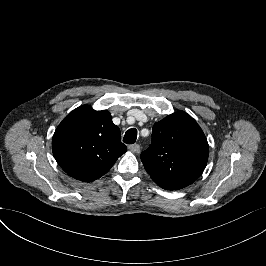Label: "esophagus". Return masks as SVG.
<instances>
[{"mask_svg": "<svg viewBox=\"0 0 266 266\" xmlns=\"http://www.w3.org/2000/svg\"><path fill=\"white\" fill-rule=\"evenodd\" d=\"M128 148H129V150L132 151L133 153L138 154V153L140 152V145H139V144H133V145H130Z\"/></svg>", "mask_w": 266, "mask_h": 266, "instance_id": "obj_1", "label": "esophagus"}]
</instances>
